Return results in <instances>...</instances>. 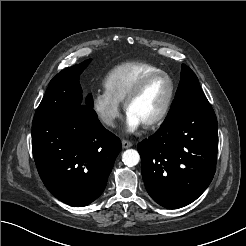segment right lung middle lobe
<instances>
[{
    "label": "right lung middle lobe",
    "instance_id": "right-lung-middle-lobe-1",
    "mask_svg": "<svg viewBox=\"0 0 246 246\" xmlns=\"http://www.w3.org/2000/svg\"><path fill=\"white\" fill-rule=\"evenodd\" d=\"M91 60L66 68L59 72L49 83L46 93L38 106L34 119L59 118L71 114L79 106L93 108V99L89 94L82 99L79 76Z\"/></svg>",
    "mask_w": 246,
    "mask_h": 246
}]
</instances>
